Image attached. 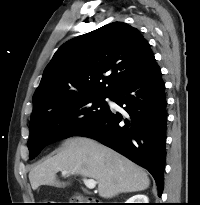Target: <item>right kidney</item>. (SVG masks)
Returning a JSON list of instances; mask_svg holds the SVG:
<instances>
[{"label":"right kidney","mask_w":200,"mask_h":205,"mask_svg":"<svg viewBox=\"0 0 200 205\" xmlns=\"http://www.w3.org/2000/svg\"><path fill=\"white\" fill-rule=\"evenodd\" d=\"M125 203H149V199L146 195L137 194L129 198Z\"/></svg>","instance_id":"obj_1"}]
</instances>
